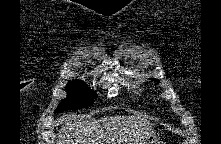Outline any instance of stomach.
<instances>
[{
	"label": "stomach",
	"instance_id": "stomach-1",
	"mask_svg": "<svg viewBox=\"0 0 221 144\" xmlns=\"http://www.w3.org/2000/svg\"><path fill=\"white\" fill-rule=\"evenodd\" d=\"M140 144H160V141L155 136H151Z\"/></svg>",
	"mask_w": 221,
	"mask_h": 144
}]
</instances>
